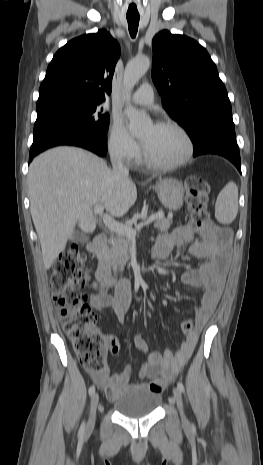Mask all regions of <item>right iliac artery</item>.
<instances>
[{
	"mask_svg": "<svg viewBox=\"0 0 263 465\" xmlns=\"http://www.w3.org/2000/svg\"><path fill=\"white\" fill-rule=\"evenodd\" d=\"M94 392H95V386L92 385V386L89 388V395L92 396V395L94 394ZM84 431H85V423L83 422V423L81 424L80 429H79V434H80V435H83V434H84Z\"/></svg>",
	"mask_w": 263,
	"mask_h": 465,
	"instance_id": "right-iliac-artery-1",
	"label": "right iliac artery"
}]
</instances>
